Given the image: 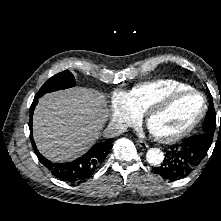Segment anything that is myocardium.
Listing matches in <instances>:
<instances>
[{
  "label": "myocardium",
  "mask_w": 221,
  "mask_h": 221,
  "mask_svg": "<svg viewBox=\"0 0 221 221\" xmlns=\"http://www.w3.org/2000/svg\"><path fill=\"white\" fill-rule=\"evenodd\" d=\"M189 94L199 95L202 99V106L199 112L197 113V115L187 125H185L180 130L171 134L156 133L149 128V121L155 114L164 110L165 108H167L169 105H171L172 103H174L181 97L189 95ZM206 111H207V99L205 95L199 90H196L194 88H188V89L170 92L167 95L161 97L160 99L153 101L151 105L143 113V120L151 136L155 140L162 142V143H172L188 135L201 122V120L206 114Z\"/></svg>",
  "instance_id": "1"
}]
</instances>
